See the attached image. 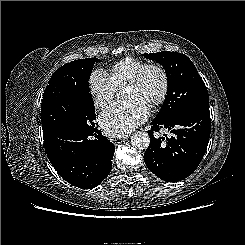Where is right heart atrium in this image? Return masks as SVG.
I'll list each match as a JSON object with an SVG mask.
<instances>
[{
	"mask_svg": "<svg viewBox=\"0 0 245 245\" xmlns=\"http://www.w3.org/2000/svg\"><path fill=\"white\" fill-rule=\"evenodd\" d=\"M88 89L95 108L106 107L112 101L117 91L106 73L100 69L94 70L90 74Z\"/></svg>",
	"mask_w": 245,
	"mask_h": 245,
	"instance_id": "d8ad5b80",
	"label": "right heart atrium"
}]
</instances>
